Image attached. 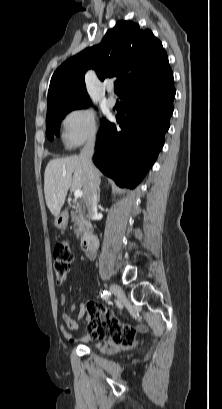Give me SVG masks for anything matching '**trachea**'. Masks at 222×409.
Here are the masks:
<instances>
[{
  "label": "trachea",
  "mask_w": 222,
  "mask_h": 409,
  "mask_svg": "<svg viewBox=\"0 0 222 409\" xmlns=\"http://www.w3.org/2000/svg\"><path fill=\"white\" fill-rule=\"evenodd\" d=\"M117 85H118V84H115V89L117 88Z\"/></svg>",
  "instance_id": "1"
}]
</instances>
